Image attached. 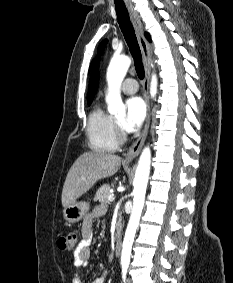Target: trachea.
<instances>
[{"label": "trachea", "instance_id": "trachea-1", "mask_svg": "<svg viewBox=\"0 0 233 283\" xmlns=\"http://www.w3.org/2000/svg\"><path fill=\"white\" fill-rule=\"evenodd\" d=\"M116 13L119 26L134 59L137 75L140 79H143L145 72L141 58V51L137 42L134 28L130 21L128 10L125 6H116Z\"/></svg>", "mask_w": 233, "mask_h": 283}]
</instances>
